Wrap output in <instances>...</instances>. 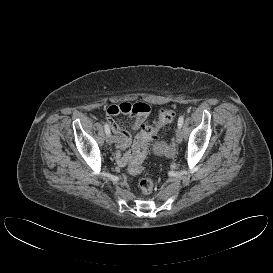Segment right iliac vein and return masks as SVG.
<instances>
[{
	"label": "right iliac vein",
	"mask_w": 273,
	"mask_h": 273,
	"mask_svg": "<svg viewBox=\"0 0 273 273\" xmlns=\"http://www.w3.org/2000/svg\"><path fill=\"white\" fill-rule=\"evenodd\" d=\"M106 142H107V144H109V145H111V144L113 143V137H112L110 134H108V135L106 136Z\"/></svg>",
	"instance_id": "obj_1"
}]
</instances>
